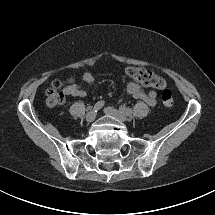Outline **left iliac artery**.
Returning a JSON list of instances; mask_svg holds the SVG:
<instances>
[{
	"label": "left iliac artery",
	"mask_w": 215,
	"mask_h": 215,
	"mask_svg": "<svg viewBox=\"0 0 215 215\" xmlns=\"http://www.w3.org/2000/svg\"><path fill=\"white\" fill-rule=\"evenodd\" d=\"M120 110L125 113L126 115H131L132 114V109L129 107L121 106Z\"/></svg>",
	"instance_id": "obj_1"
}]
</instances>
